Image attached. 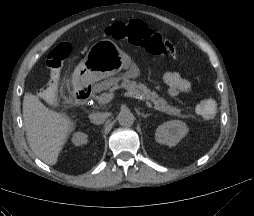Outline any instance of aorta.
I'll return each instance as SVG.
<instances>
[{
    "label": "aorta",
    "instance_id": "1",
    "mask_svg": "<svg viewBox=\"0 0 254 216\" xmlns=\"http://www.w3.org/2000/svg\"><path fill=\"white\" fill-rule=\"evenodd\" d=\"M117 120L121 126L129 127L134 123L135 117L129 110H122L118 114Z\"/></svg>",
    "mask_w": 254,
    "mask_h": 216
}]
</instances>
